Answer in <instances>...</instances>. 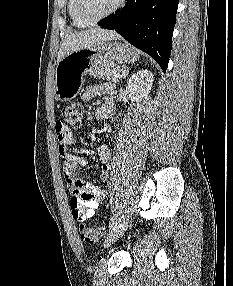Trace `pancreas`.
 <instances>
[{
	"label": "pancreas",
	"mask_w": 233,
	"mask_h": 286,
	"mask_svg": "<svg viewBox=\"0 0 233 286\" xmlns=\"http://www.w3.org/2000/svg\"><path fill=\"white\" fill-rule=\"evenodd\" d=\"M120 72V67L116 66V65H112V64H103L97 68H95L94 70H92L90 72V75L95 77V78H99V79H103V80H107V81H112L114 83H117L119 81L118 77H115V73H119Z\"/></svg>",
	"instance_id": "obj_1"
}]
</instances>
